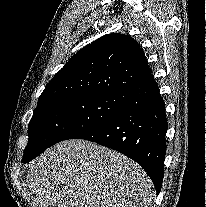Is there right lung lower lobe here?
Instances as JSON below:
<instances>
[{
  "instance_id": "98d812e1",
  "label": "right lung lower lobe",
  "mask_w": 206,
  "mask_h": 207,
  "mask_svg": "<svg viewBox=\"0 0 206 207\" xmlns=\"http://www.w3.org/2000/svg\"><path fill=\"white\" fill-rule=\"evenodd\" d=\"M123 107L110 119L77 138L114 149L136 161L161 191L168 123L154 76L130 88ZM35 157L22 160L24 163Z\"/></svg>"
}]
</instances>
